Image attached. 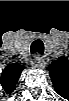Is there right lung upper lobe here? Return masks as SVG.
Listing matches in <instances>:
<instances>
[{
    "label": "right lung upper lobe",
    "mask_w": 69,
    "mask_h": 101,
    "mask_svg": "<svg viewBox=\"0 0 69 101\" xmlns=\"http://www.w3.org/2000/svg\"><path fill=\"white\" fill-rule=\"evenodd\" d=\"M24 67L18 63L7 65L2 72L1 83L7 93H12Z\"/></svg>",
    "instance_id": "cb5924a9"
}]
</instances>
